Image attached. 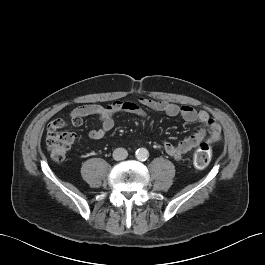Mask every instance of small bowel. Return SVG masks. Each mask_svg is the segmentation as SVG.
Segmentation results:
<instances>
[{
  "mask_svg": "<svg viewBox=\"0 0 265 265\" xmlns=\"http://www.w3.org/2000/svg\"><path fill=\"white\" fill-rule=\"evenodd\" d=\"M144 108L163 113L169 117L180 116L187 122H199L202 125L196 128L192 135L178 143L163 141L164 151L175 160H180L186 153L207 138L214 142L220 139V126L206 111L194 109L188 105L179 106L166 101H154L145 97H140L137 103L115 101L107 106L98 104L79 106L70 112L69 117L73 126H80L84 117H98L99 128L92 129L88 133L89 138L98 140L103 138L114 127V116L116 114L129 113L146 118L147 114Z\"/></svg>",
  "mask_w": 265,
  "mask_h": 265,
  "instance_id": "1",
  "label": "small bowel"
}]
</instances>
